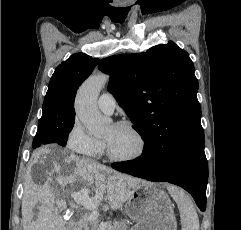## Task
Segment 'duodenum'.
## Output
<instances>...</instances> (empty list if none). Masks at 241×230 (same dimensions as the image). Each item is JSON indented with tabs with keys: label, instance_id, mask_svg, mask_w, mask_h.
<instances>
[{
	"label": "duodenum",
	"instance_id": "410a0bca",
	"mask_svg": "<svg viewBox=\"0 0 241 230\" xmlns=\"http://www.w3.org/2000/svg\"><path fill=\"white\" fill-rule=\"evenodd\" d=\"M73 226H74V221L70 223L71 230L73 229Z\"/></svg>",
	"mask_w": 241,
	"mask_h": 230
}]
</instances>
